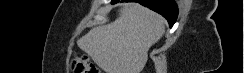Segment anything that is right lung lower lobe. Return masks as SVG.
I'll return each instance as SVG.
<instances>
[{"label": "right lung lower lobe", "instance_id": "1", "mask_svg": "<svg viewBox=\"0 0 244 73\" xmlns=\"http://www.w3.org/2000/svg\"><path fill=\"white\" fill-rule=\"evenodd\" d=\"M122 2H139L148 8L164 16L172 27L178 15V8L173 0H121ZM119 0H112V3H118Z\"/></svg>", "mask_w": 244, "mask_h": 73}]
</instances>
